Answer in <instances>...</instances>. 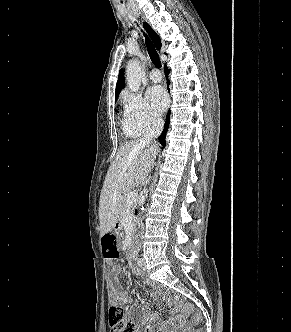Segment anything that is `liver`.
Wrapping results in <instances>:
<instances>
[{
	"mask_svg": "<svg viewBox=\"0 0 291 332\" xmlns=\"http://www.w3.org/2000/svg\"><path fill=\"white\" fill-rule=\"evenodd\" d=\"M156 145L141 140L124 144L106 174L99 200L100 235L110 232L121 219L124 196L141 185L151 171L157 155Z\"/></svg>",
	"mask_w": 291,
	"mask_h": 332,
	"instance_id": "obj_1",
	"label": "liver"
}]
</instances>
